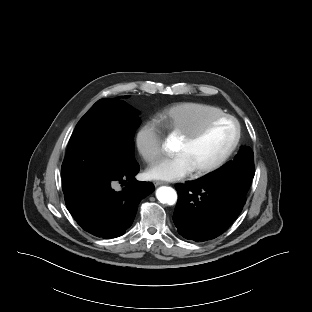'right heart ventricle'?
<instances>
[{"instance_id": "right-heart-ventricle-1", "label": "right heart ventricle", "mask_w": 312, "mask_h": 312, "mask_svg": "<svg viewBox=\"0 0 312 312\" xmlns=\"http://www.w3.org/2000/svg\"><path fill=\"white\" fill-rule=\"evenodd\" d=\"M222 113L220 108L212 105L184 102L164 109L159 114V120L169 131L184 135L196 130L207 119Z\"/></svg>"}]
</instances>
